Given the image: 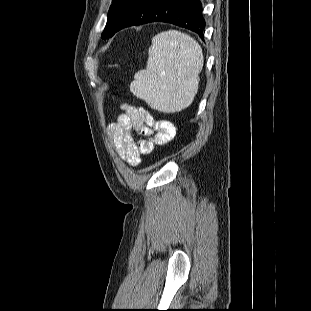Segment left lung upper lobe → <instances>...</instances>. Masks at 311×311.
<instances>
[{
	"mask_svg": "<svg viewBox=\"0 0 311 311\" xmlns=\"http://www.w3.org/2000/svg\"><path fill=\"white\" fill-rule=\"evenodd\" d=\"M127 1L128 0H113L112 5L109 9L107 24L101 35L102 38L105 39L111 36L116 24L118 14Z\"/></svg>",
	"mask_w": 311,
	"mask_h": 311,
	"instance_id": "left-lung-upper-lobe-1",
	"label": "left lung upper lobe"
}]
</instances>
